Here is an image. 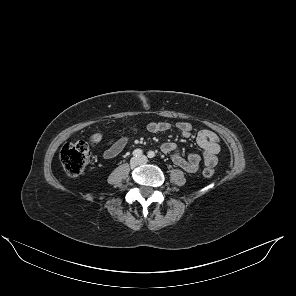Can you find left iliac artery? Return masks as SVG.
<instances>
[{
  "mask_svg": "<svg viewBox=\"0 0 296 296\" xmlns=\"http://www.w3.org/2000/svg\"><path fill=\"white\" fill-rule=\"evenodd\" d=\"M147 157H148V158H154V157H155V153H154L153 151H149V152L147 153Z\"/></svg>",
  "mask_w": 296,
  "mask_h": 296,
  "instance_id": "1",
  "label": "left iliac artery"
}]
</instances>
